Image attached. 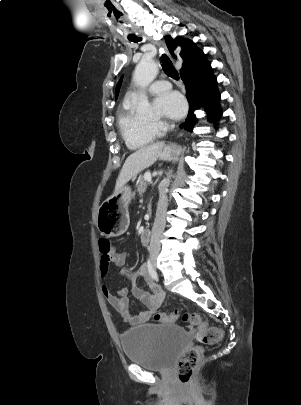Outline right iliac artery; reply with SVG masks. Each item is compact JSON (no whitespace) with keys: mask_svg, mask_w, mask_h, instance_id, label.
Here are the masks:
<instances>
[{"mask_svg":"<svg viewBox=\"0 0 301 405\" xmlns=\"http://www.w3.org/2000/svg\"><path fill=\"white\" fill-rule=\"evenodd\" d=\"M147 267H148V271H149L150 276H151L154 280L157 281V280H158V275H157L155 269L153 268V266H152L150 260L147 261Z\"/></svg>","mask_w":301,"mask_h":405,"instance_id":"obj_1","label":"right iliac artery"}]
</instances>
